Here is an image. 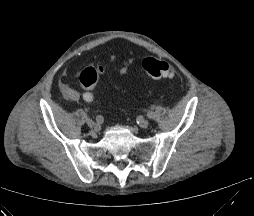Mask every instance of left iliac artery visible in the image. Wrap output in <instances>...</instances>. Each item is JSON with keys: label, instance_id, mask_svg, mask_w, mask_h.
Returning a JSON list of instances; mask_svg holds the SVG:
<instances>
[{"label": "left iliac artery", "instance_id": "44dca946", "mask_svg": "<svg viewBox=\"0 0 254 216\" xmlns=\"http://www.w3.org/2000/svg\"><path fill=\"white\" fill-rule=\"evenodd\" d=\"M147 117H148L149 119H154V118H155V113H154L153 111H148V112H147Z\"/></svg>", "mask_w": 254, "mask_h": 216}]
</instances>
